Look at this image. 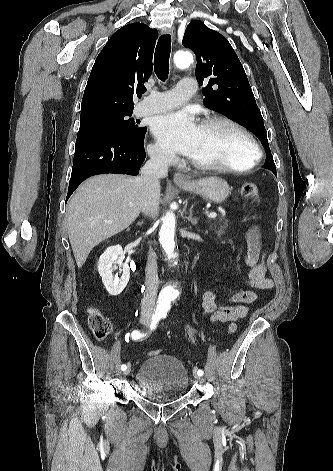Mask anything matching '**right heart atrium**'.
I'll list each match as a JSON object with an SVG mask.
<instances>
[{
    "mask_svg": "<svg viewBox=\"0 0 333 471\" xmlns=\"http://www.w3.org/2000/svg\"><path fill=\"white\" fill-rule=\"evenodd\" d=\"M149 154L154 162L162 166H171L176 162L175 155L157 143L149 146Z\"/></svg>",
    "mask_w": 333,
    "mask_h": 471,
    "instance_id": "d8ad5b80",
    "label": "right heart atrium"
}]
</instances>
